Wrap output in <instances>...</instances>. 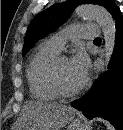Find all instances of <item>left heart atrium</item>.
I'll use <instances>...</instances> for the list:
<instances>
[{
	"instance_id": "obj_1",
	"label": "left heart atrium",
	"mask_w": 123,
	"mask_h": 130,
	"mask_svg": "<svg viewBox=\"0 0 123 130\" xmlns=\"http://www.w3.org/2000/svg\"><path fill=\"white\" fill-rule=\"evenodd\" d=\"M70 69L74 77L83 84L90 69V59L81 49H77L69 62Z\"/></svg>"
}]
</instances>
